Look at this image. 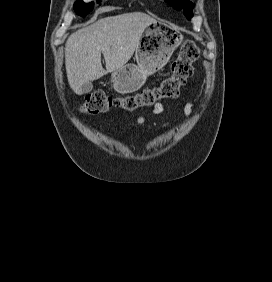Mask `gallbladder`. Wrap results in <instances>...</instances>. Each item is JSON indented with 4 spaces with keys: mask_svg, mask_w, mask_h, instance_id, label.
Instances as JSON below:
<instances>
[{
    "mask_svg": "<svg viewBox=\"0 0 272 282\" xmlns=\"http://www.w3.org/2000/svg\"><path fill=\"white\" fill-rule=\"evenodd\" d=\"M92 88H93L92 83H90V82L86 83L82 86V93L83 94L89 93L92 90Z\"/></svg>",
    "mask_w": 272,
    "mask_h": 282,
    "instance_id": "1",
    "label": "gallbladder"
}]
</instances>
